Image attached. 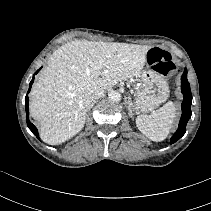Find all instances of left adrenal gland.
Masks as SVG:
<instances>
[{
  "mask_svg": "<svg viewBox=\"0 0 211 211\" xmlns=\"http://www.w3.org/2000/svg\"><path fill=\"white\" fill-rule=\"evenodd\" d=\"M131 106H132V102H131V97L129 96L128 97V114L130 117H133L134 113L132 112Z\"/></svg>",
  "mask_w": 211,
  "mask_h": 211,
  "instance_id": "a2214340",
  "label": "left adrenal gland"
}]
</instances>
